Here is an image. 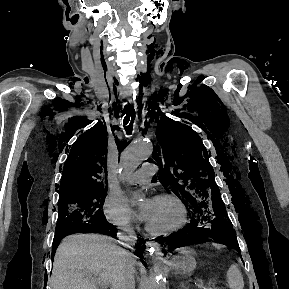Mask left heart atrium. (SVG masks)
<instances>
[{"mask_svg": "<svg viewBox=\"0 0 289 289\" xmlns=\"http://www.w3.org/2000/svg\"><path fill=\"white\" fill-rule=\"evenodd\" d=\"M155 199L153 198H146L143 203L141 204L139 210H138V218L142 221H147L150 217V214L152 212V209L154 207Z\"/></svg>", "mask_w": 289, "mask_h": 289, "instance_id": "39dd6f15", "label": "left heart atrium"}]
</instances>
